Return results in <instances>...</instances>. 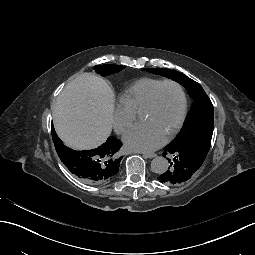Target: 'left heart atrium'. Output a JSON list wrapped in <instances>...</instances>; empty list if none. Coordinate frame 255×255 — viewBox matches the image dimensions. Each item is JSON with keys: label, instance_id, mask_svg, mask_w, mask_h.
I'll return each mask as SVG.
<instances>
[{"label": "left heart atrium", "instance_id": "obj_1", "mask_svg": "<svg viewBox=\"0 0 255 255\" xmlns=\"http://www.w3.org/2000/svg\"><path fill=\"white\" fill-rule=\"evenodd\" d=\"M124 142L129 149L150 152L161 147L165 142V138L148 124L140 123L127 131Z\"/></svg>", "mask_w": 255, "mask_h": 255}]
</instances>
